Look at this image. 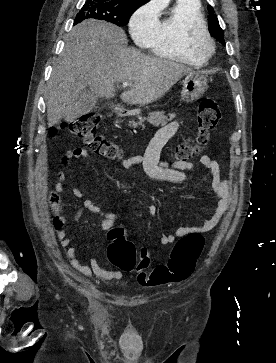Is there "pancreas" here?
I'll return each instance as SVG.
<instances>
[{
	"label": "pancreas",
	"mask_w": 276,
	"mask_h": 363,
	"mask_svg": "<svg viewBox=\"0 0 276 363\" xmlns=\"http://www.w3.org/2000/svg\"><path fill=\"white\" fill-rule=\"evenodd\" d=\"M169 117L170 118L165 116L163 111H161V112L157 111V112L149 113V116L147 118L139 117V122L130 121L129 124L133 127H138V126L142 125V123L145 120H147L153 126H159V125L163 126V125H166L167 122L171 118L175 117V114H169Z\"/></svg>",
	"instance_id": "1"
}]
</instances>
